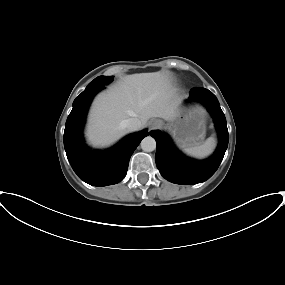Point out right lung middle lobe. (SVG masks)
I'll use <instances>...</instances> for the list:
<instances>
[{
    "label": "right lung middle lobe",
    "instance_id": "right-lung-middle-lobe-1",
    "mask_svg": "<svg viewBox=\"0 0 285 285\" xmlns=\"http://www.w3.org/2000/svg\"><path fill=\"white\" fill-rule=\"evenodd\" d=\"M112 79L113 76H99L95 78L92 82H90L83 92L103 87L105 84L110 83Z\"/></svg>",
    "mask_w": 285,
    "mask_h": 285
}]
</instances>
